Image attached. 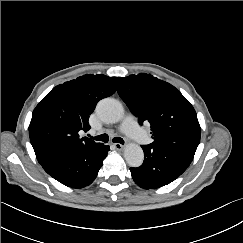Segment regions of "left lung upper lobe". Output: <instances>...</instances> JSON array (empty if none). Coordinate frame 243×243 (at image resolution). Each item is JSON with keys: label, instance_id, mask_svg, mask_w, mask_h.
<instances>
[{"label": "left lung upper lobe", "instance_id": "1", "mask_svg": "<svg viewBox=\"0 0 243 243\" xmlns=\"http://www.w3.org/2000/svg\"><path fill=\"white\" fill-rule=\"evenodd\" d=\"M118 94L138 117L149 122L153 146L197 149L201 128L191 103L171 84L140 73L121 77Z\"/></svg>", "mask_w": 243, "mask_h": 243}]
</instances>
